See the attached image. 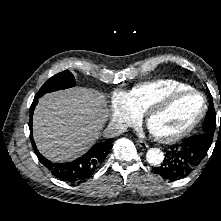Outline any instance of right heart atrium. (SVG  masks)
<instances>
[{
  "instance_id": "right-heart-atrium-1",
  "label": "right heart atrium",
  "mask_w": 221,
  "mask_h": 221,
  "mask_svg": "<svg viewBox=\"0 0 221 221\" xmlns=\"http://www.w3.org/2000/svg\"><path fill=\"white\" fill-rule=\"evenodd\" d=\"M109 120L111 125L120 131L135 125L140 120V115L131 109L125 92H114L111 99Z\"/></svg>"
}]
</instances>
